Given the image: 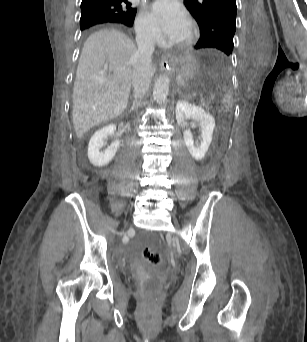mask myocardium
I'll return each instance as SVG.
<instances>
[{"instance_id":"f54148a6","label":"myocardium","mask_w":307,"mask_h":342,"mask_svg":"<svg viewBox=\"0 0 307 342\" xmlns=\"http://www.w3.org/2000/svg\"><path fill=\"white\" fill-rule=\"evenodd\" d=\"M193 40H194V35L192 32L189 33L186 41L184 42L183 44V47H188L190 46L192 43H193Z\"/></svg>"}]
</instances>
